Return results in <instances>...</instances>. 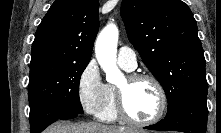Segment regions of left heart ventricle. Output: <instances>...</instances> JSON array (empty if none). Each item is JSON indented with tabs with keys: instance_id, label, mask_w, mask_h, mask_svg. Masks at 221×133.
Returning a JSON list of instances; mask_svg holds the SVG:
<instances>
[{
	"instance_id": "left-heart-ventricle-1",
	"label": "left heart ventricle",
	"mask_w": 221,
	"mask_h": 133,
	"mask_svg": "<svg viewBox=\"0 0 221 133\" xmlns=\"http://www.w3.org/2000/svg\"><path fill=\"white\" fill-rule=\"evenodd\" d=\"M125 87L126 106L130 115L137 120H148L159 109V94L155 85L148 80H141L126 85L125 79L119 84Z\"/></svg>"
}]
</instances>
